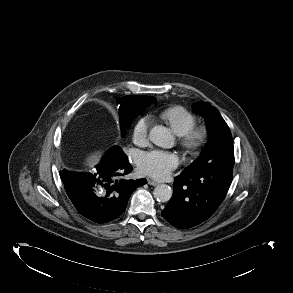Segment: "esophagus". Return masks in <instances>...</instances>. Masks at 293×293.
Listing matches in <instances>:
<instances>
[{"label": "esophagus", "instance_id": "esophagus-1", "mask_svg": "<svg viewBox=\"0 0 293 293\" xmlns=\"http://www.w3.org/2000/svg\"><path fill=\"white\" fill-rule=\"evenodd\" d=\"M147 182H148L149 185H152V186L159 185L158 181H155V180H152V179H148Z\"/></svg>", "mask_w": 293, "mask_h": 293}]
</instances>
